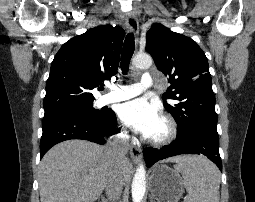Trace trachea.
Segmentation results:
<instances>
[{"label": "trachea", "instance_id": "1", "mask_svg": "<svg viewBox=\"0 0 255 202\" xmlns=\"http://www.w3.org/2000/svg\"><path fill=\"white\" fill-rule=\"evenodd\" d=\"M134 34L130 32L125 39L121 54V70L124 75L128 73L131 57L134 53Z\"/></svg>", "mask_w": 255, "mask_h": 202}]
</instances>
